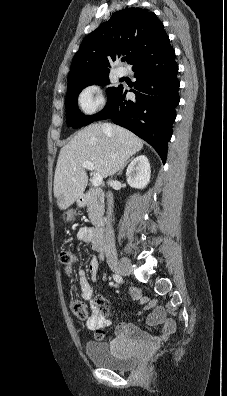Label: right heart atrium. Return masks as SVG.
Instances as JSON below:
<instances>
[{
  "label": "right heart atrium",
  "mask_w": 227,
  "mask_h": 396,
  "mask_svg": "<svg viewBox=\"0 0 227 396\" xmlns=\"http://www.w3.org/2000/svg\"><path fill=\"white\" fill-rule=\"evenodd\" d=\"M78 104L82 113L86 116L98 113L105 106L103 88L98 84L87 85L78 96Z\"/></svg>",
  "instance_id": "right-heart-atrium-1"
}]
</instances>
